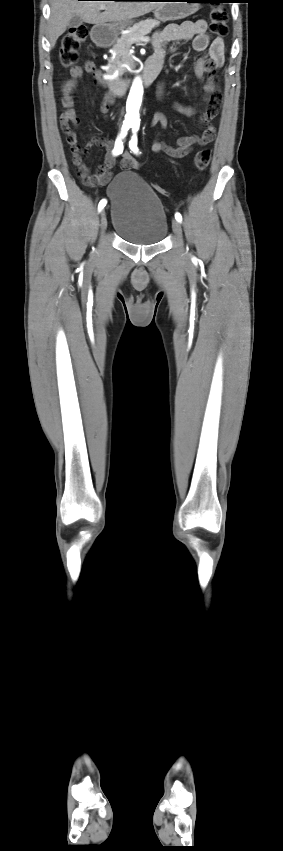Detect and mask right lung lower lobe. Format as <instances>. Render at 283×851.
Listing matches in <instances>:
<instances>
[{
    "instance_id": "98d812e1",
    "label": "right lung lower lobe",
    "mask_w": 283,
    "mask_h": 851,
    "mask_svg": "<svg viewBox=\"0 0 283 851\" xmlns=\"http://www.w3.org/2000/svg\"><path fill=\"white\" fill-rule=\"evenodd\" d=\"M121 1H152V0H121Z\"/></svg>"
}]
</instances>
